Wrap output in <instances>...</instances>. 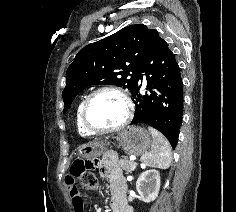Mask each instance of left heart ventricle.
Wrapping results in <instances>:
<instances>
[{
	"instance_id": "1",
	"label": "left heart ventricle",
	"mask_w": 236,
	"mask_h": 212,
	"mask_svg": "<svg viewBox=\"0 0 236 212\" xmlns=\"http://www.w3.org/2000/svg\"><path fill=\"white\" fill-rule=\"evenodd\" d=\"M126 113L122 98L113 92L96 95L88 108V121L95 128H112L120 124Z\"/></svg>"
}]
</instances>
